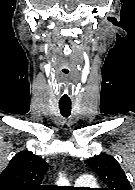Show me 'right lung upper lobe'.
I'll list each match as a JSON object with an SVG mask.
<instances>
[{
	"instance_id": "right-lung-upper-lobe-1",
	"label": "right lung upper lobe",
	"mask_w": 135,
	"mask_h": 190,
	"mask_svg": "<svg viewBox=\"0 0 135 190\" xmlns=\"http://www.w3.org/2000/svg\"><path fill=\"white\" fill-rule=\"evenodd\" d=\"M47 163L29 151H20L0 174V190H44Z\"/></svg>"
}]
</instances>
